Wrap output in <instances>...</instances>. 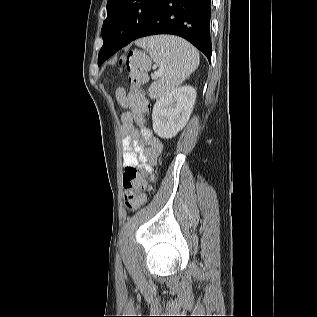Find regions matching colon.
<instances>
[{
    "label": "colon",
    "instance_id": "colon-1",
    "mask_svg": "<svg viewBox=\"0 0 317 317\" xmlns=\"http://www.w3.org/2000/svg\"><path fill=\"white\" fill-rule=\"evenodd\" d=\"M124 64L128 80L134 88L146 81V70L149 62L140 52L129 51L121 60ZM145 180L136 167H127L123 173V188L125 205L130 210H136L145 203L143 189Z\"/></svg>",
    "mask_w": 317,
    "mask_h": 317
}]
</instances>
